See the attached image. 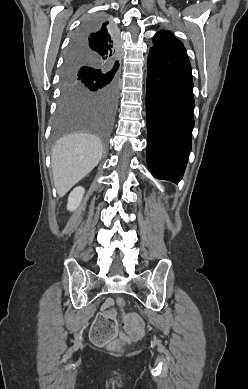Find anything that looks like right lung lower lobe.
<instances>
[{"mask_svg": "<svg viewBox=\"0 0 248 389\" xmlns=\"http://www.w3.org/2000/svg\"><path fill=\"white\" fill-rule=\"evenodd\" d=\"M109 30H110L111 36H112L115 44H117L118 43L117 34L113 31V28H112L111 24H109ZM81 39L82 38L78 39L76 42L80 41ZM79 45H80L79 43H73V44H71L70 49L72 51L78 50L76 47L79 46Z\"/></svg>", "mask_w": 248, "mask_h": 389, "instance_id": "obj_1", "label": "right lung lower lobe"}]
</instances>
